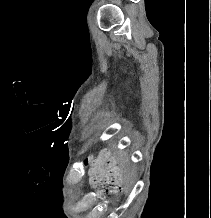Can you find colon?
<instances>
[{
	"label": "colon",
	"mask_w": 211,
	"mask_h": 218,
	"mask_svg": "<svg viewBox=\"0 0 211 218\" xmlns=\"http://www.w3.org/2000/svg\"><path fill=\"white\" fill-rule=\"evenodd\" d=\"M91 183L105 193L121 189V172L111 153L104 151L87 160Z\"/></svg>",
	"instance_id": "obj_1"
}]
</instances>
